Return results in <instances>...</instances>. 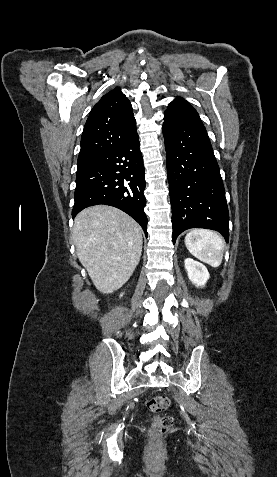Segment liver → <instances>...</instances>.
Segmentation results:
<instances>
[{
  "instance_id": "1",
  "label": "liver",
  "mask_w": 277,
  "mask_h": 477,
  "mask_svg": "<svg viewBox=\"0 0 277 477\" xmlns=\"http://www.w3.org/2000/svg\"><path fill=\"white\" fill-rule=\"evenodd\" d=\"M72 233L78 259L98 291L112 293L129 280L142 252L135 220L117 208L96 205L76 216Z\"/></svg>"
}]
</instances>
